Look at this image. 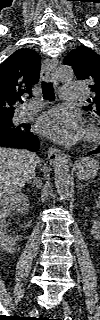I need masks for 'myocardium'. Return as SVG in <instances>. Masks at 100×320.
<instances>
[{
    "instance_id": "f54148a6",
    "label": "myocardium",
    "mask_w": 100,
    "mask_h": 320,
    "mask_svg": "<svg viewBox=\"0 0 100 320\" xmlns=\"http://www.w3.org/2000/svg\"><path fill=\"white\" fill-rule=\"evenodd\" d=\"M97 139V132L91 125L85 127L83 131V140L86 144L92 143Z\"/></svg>"
}]
</instances>
